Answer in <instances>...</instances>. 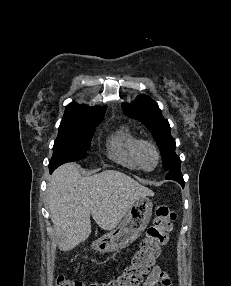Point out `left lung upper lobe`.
<instances>
[{"label":"left lung upper lobe","mask_w":231,"mask_h":286,"mask_svg":"<svg viewBox=\"0 0 231 286\" xmlns=\"http://www.w3.org/2000/svg\"><path fill=\"white\" fill-rule=\"evenodd\" d=\"M124 113L141 121L152 133L160 149L163 168L170 171L181 165L180 158L175 154V140L170 134V125L161 114L158 105L148 96L140 95L131 104H122Z\"/></svg>","instance_id":"obj_1"}]
</instances>
